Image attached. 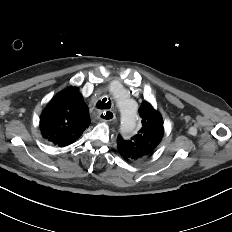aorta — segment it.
I'll use <instances>...</instances> for the list:
<instances>
[{"mask_svg": "<svg viewBox=\"0 0 232 232\" xmlns=\"http://www.w3.org/2000/svg\"><path fill=\"white\" fill-rule=\"evenodd\" d=\"M112 95L120 112L121 131L126 134L134 133L137 129L138 119L136 105L123 95L121 88L112 91Z\"/></svg>", "mask_w": 232, "mask_h": 232, "instance_id": "1", "label": "aorta"}]
</instances>
